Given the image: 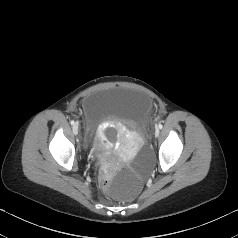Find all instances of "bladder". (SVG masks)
Segmentation results:
<instances>
[{
  "label": "bladder",
  "instance_id": "obj_1",
  "mask_svg": "<svg viewBox=\"0 0 238 238\" xmlns=\"http://www.w3.org/2000/svg\"><path fill=\"white\" fill-rule=\"evenodd\" d=\"M151 110V99L143 93L125 88L99 91L84 102L86 138L91 141L98 126L105 121H121L137 131H146Z\"/></svg>",
  "mask_w": 238,
  "mask_h": 238
}]
</instances>
